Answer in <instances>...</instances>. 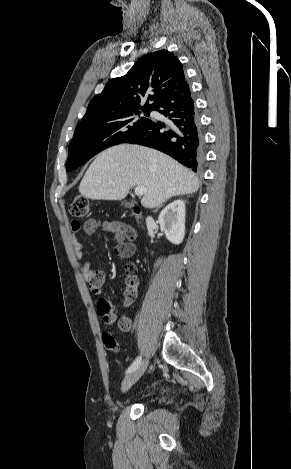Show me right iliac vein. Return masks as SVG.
Segmentation results:
<instances>
[{
    "label": "right iliac vein",
    "mask_w": 291,
    "mask_h": 469,
    "mask_svg": "<svg viewBox=\"0 0 291 469\" xmlns=\"http://www.w3.org/2000/svg\"><path fill=\"white\" fill-rule=\"evenodd\" d=\"M148 366V360L145 359L140 365L132 372H130L122 381V392L128 391L144 374Z\"/></svg>",
    "instance_id": "1"
}]
</instances>
